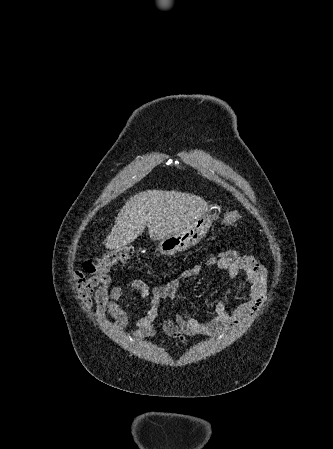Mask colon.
I'll return each mask as SVG.
<instances>
[{
	"label": "colon",
	"instance_id": "colon-1",
	"mask_svg": "<svg viewBox=\"0 0 333 449\" xmlns=\"http://www.w3.org/2000/svg\"><path fill=\"white\" fill-rule=\"evenodd\" d=\"M241 218L239 211H230L223 215L221 223L230 225ZM134 255V250L129 246H121L100 255L87 259L84 263V270L92 274H104L119 263L129 262Z\"/></svg>",
	"mask_w": 333,
	"mask_h": 449
}]
</instances>
